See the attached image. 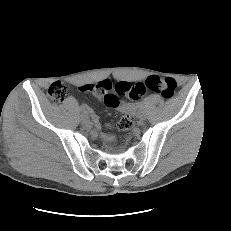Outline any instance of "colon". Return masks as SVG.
Masks as SVG:
<instances>
[{
	"instance_id": "1",
	"label": "colon",
	"mask_w": 231,
	"mask_h": 231,
	"mask_svg": "<svg viewBox=\"0 0 231 231\" xmlns=\"http://www.w3.org/2000/svg\"><path fill=\"white\" fill-rule=\"evenodd\" d=\"M176 81L170 77L149 76L144 82L128 83L120 82L114 87V94L110 93L112 88L108 81L99 82L96 90L100 92L107 105L119 106V96H125L131 99H139L146 92L152 91L160 94L165 99H171L176 90ZM48 97L54 102L64 101L70 94V88L67 84L57 81L52 83L47 90ZM119 129L128 131L132 127L130 113L122 111V116L118 121Z\"/></svg>"
}]
</instances>
